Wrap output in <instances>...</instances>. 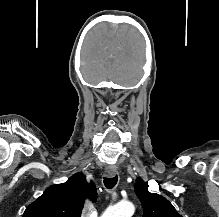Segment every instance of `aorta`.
I'll use <instances>...</instances> for the list:
<instances>
[{"label": "aorta", "instance_id": "obj_1", "mask_svg": "<svg viewBox=\"0 0 219 217\" xmlns=\"http://www.w3.org/2000/svg\"><path fill=\"white\" fill-rule=\"evenodd\" d=\"M135 208L131 202H121L108 208L101 217H132Z\"/></svg>", "mask_w": 219, "mask_h": 217}]
</instances>
